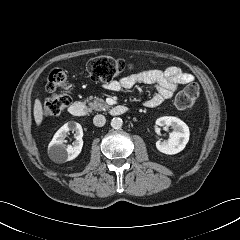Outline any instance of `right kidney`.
Here are the masks:
<instances>
[{"label":"right kidney","mask_w":240,"mask_h":240,"mask_svg":"<svg viewBox=\"0 0 240 240\" xmlns=\"http://www.w3.org/2000/svg\"><path fill=\"white\" fill-rule=\"evenodd\" d=\"M69 131L74 132L75 142L72 145H66L65 138ZM83 130L82 126L76 122H68L64 124L53 136L48 147L50 158L56 163H64L75 159L81 152L83 147Z\"/></svg>","instance_id":"1"}]
</instances>
